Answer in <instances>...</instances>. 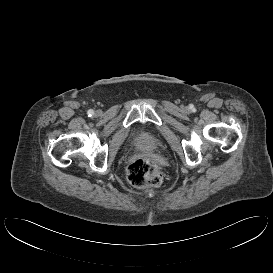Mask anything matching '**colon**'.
<instances>
[{
	"label": "colon",
	"mask_w": 273,
	"mask_h": 273,
	"mask_svg": "<svg viewBox=\"0 0 273 273\" xmlns=\"http://www.w3.org/2000/svg\"><path fill=\"white\" fill-rule=\"evenodd\" d=\"M126 178L131 185L138 188L157 187L163 180L157 164L146 158L132 161L126 168Z\"/></svg>",
	"instance_id": "1"
}]
</instances>
